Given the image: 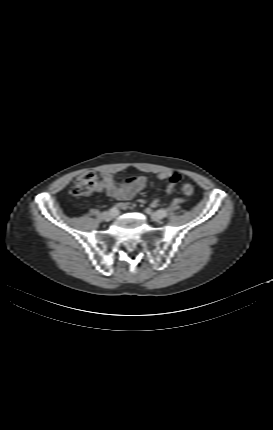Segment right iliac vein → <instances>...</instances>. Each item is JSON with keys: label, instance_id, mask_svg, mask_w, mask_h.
I'll use <instances>...</instances> for the list:
<instances>
[{"label": "right iliac vein", "instance_id": "obj_1", "mask_svg": "<svg viewBox=\"0 0 273 430\" xmlns=\"http://www.w3.org/2000/svg\"><path fill=\"white\" fill-rule=\"evenodd\" d=\"M116 215H117L116 213H114L112 210H110V211H106L103 213V218H104V220L109 221V220L113 219Z\"/></svg>", "mask_w": 273, "mask_h": 430}]
</instances>
